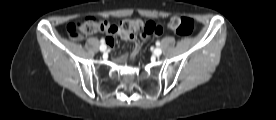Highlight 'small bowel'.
Instances as JSON below:
<instances>
[{
  "label": "small bowel",
  "mask_w": 276,
  "mask_h": 120,
  "mask_svg": "<svg viewBox=\"0 0 276 120\" xmlns=\"http://www.w3.org/2000/svg\"><path fill=\"white\" fill-rule=\"evenodd\" d=\"M148 36L146 35H142V38L143 39H146ZM127 39H132L134 40V37H131V38H127ZM106 43L108 44V46L112 47L115 43L114 39L112 37H108L106 39ZM139 48H140V45L137 41H135V48H134V51H133V57L136 55V53L139 51Z\"/></svg>",
  "instance_id": "small-bowel-1"
}]
</instances>
